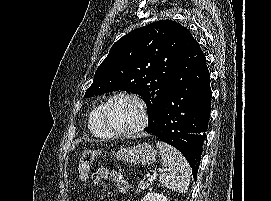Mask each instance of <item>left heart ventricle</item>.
<instances>
[{
    "mask_svg": "<svg viewBox=\"0 0 271 201\" xmlns=\"http://www.w3.org/2000/svg\"><path fill=\"white\" fill-rule=\"evenodd\" d=\"M111 124L118 130H130L136 127L141 119L138 105L129 98H117L108 107Z\"/></svg>",
    "mask_w": 271,
    "mask_h": 201,
    "instance_id": "left-heart-ventricle-1",
    "label": "left heart ventricle"
}]
</instances>
